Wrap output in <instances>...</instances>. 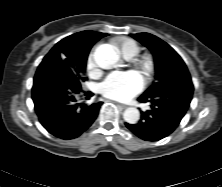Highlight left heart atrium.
Segmentation results:
<instances>
[{"instance_id":"39dd6f15","label":"left heart atrium","mask_w":222,"mask_h":187,"mask_svg":"<svg viewBox=\"0 0 222 187\" xmlns=\"http://www.w3.org/2000/svg\"><path fill=\"white\" fill-rule=\"evenodd\" d=\"M144 79L136 70L113 71L99 85V91L107 98L129 101L144 87Z\"/></svg>"}]
</instances>
